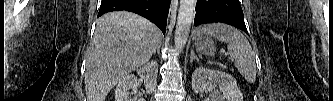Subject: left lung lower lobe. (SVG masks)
I'll use <instances>...</instances> for the list:
<instances>
[{"label":"left lung lower lobe","instance_id":"obj_1","mask_svg":"<svg viewBox=\"0 0 333 101\" xmlns=\"http://www.w3.org/2000/svg\"><path fill=\"white\" fill-rule=\"evenodd\" d=\"M196 12V26L222 22L248 33L239 0H198Z\"/></svg>","mask_w":333,"mask_h":101}]
</instances>
